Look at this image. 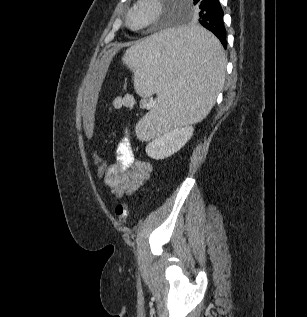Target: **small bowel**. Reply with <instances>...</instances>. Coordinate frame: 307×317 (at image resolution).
<instances>
[{
  "instance_id": "obj_1",
  "label": "small bowel",
  "mask_w": 307,
  "mask_h": 317,
  "mask_svg": "<svg viewBox=\"0 0 307 317\" xmlns=\"http://www.w3.org/2000/svg\"><path fill=\"white\" fill-rule=\"evenodd\" d=\"M152 172L150 163L135 159L127 131L117 143L116 161L108 165L104 182L120 198L135 192L151 177Z\"/></svg>"
}]
</instances>
